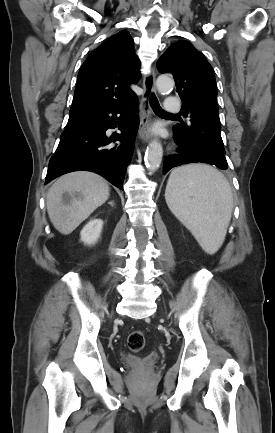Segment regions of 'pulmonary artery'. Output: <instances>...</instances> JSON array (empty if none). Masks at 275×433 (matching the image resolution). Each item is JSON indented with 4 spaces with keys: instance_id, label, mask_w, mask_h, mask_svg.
Instances as JSON below:
<instances>
[{
    "instance_id": "e3ab8cb5",
    "label": "pulmonary artery",
    "mask_w": 275,
    "mask_h": 433,
    "mask_svg": "<svg viewBox=\"0 0 275 433\" xmlns=\"http://www.w3.org/2000/svg\"><path fill=\"white\" fill-rule=\"evenodd\" d=\"M164 111L168 114H175L180 111V103L174 96H167L164 103Z\"/></svg>"
}]
</instances>
